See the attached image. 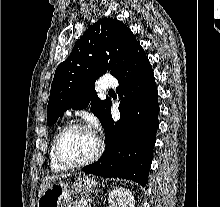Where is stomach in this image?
Listing matches in <instances>:
<instances>
[{"label":"stomach","instance_id":"1","mask_svg":"<svg viewBox=\"0 0 220 207\" xmlns=\"http://www.w3.org/2000/svg\"><path fill=\"white\" fill-rule=\"evenodd\" d=\"M93 177L82 175L73 182L56 180L44 191L37 201V207H66L72 201L74 193H90L96 187Z\"/></svg>","mask_w":220,"mask_h":207}]
</instances>
